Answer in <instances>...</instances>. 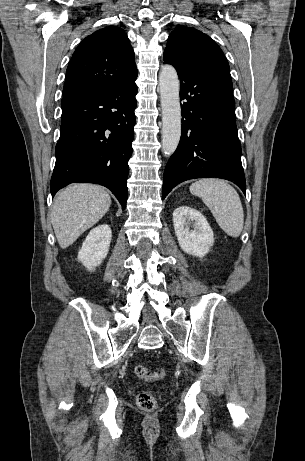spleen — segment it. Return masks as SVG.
I'll list each match as a JSON object with an SVG mask.
<instances>
[{
  "label": "spleen",
  "mask_w": 305,
  "mask_h": 461,
  "mask_svg": "<svg viewBox=\"0 0 305 461\" xmlns=\"http://www.w3.org/2000/svg\"><path fill=\"white\" fill-rule=\"evenodd\" d=\"M190 192L203 200L228 236L235 238L241 234L243 207L237 191L231 185L221 179H201L190 186Z\"/></svg>",
  "instance_id": "1"
}]
</instances>
